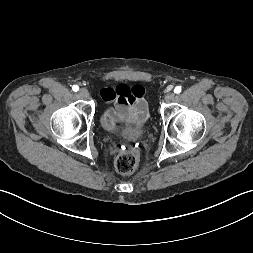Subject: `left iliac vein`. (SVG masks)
Wrapping results in <instances>:
<instances>
[{"instance_id": "left-iliac-vein-1", "label": "left iliac vein", "mask_w": 253, "mask_h": 253, "mask_svg": "<svg viewBox=\"0 0 253 253\" xmlns=\"http://www.w3.org/2000/svg\"><path fill=\"white\" fill-rule=\"evenodd\" d=\"M174 93L172 92H169L165 95L164 99L166 102H171L173 99H174Z\"/></svg>"}]
</instances>
